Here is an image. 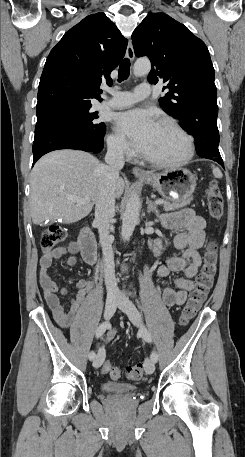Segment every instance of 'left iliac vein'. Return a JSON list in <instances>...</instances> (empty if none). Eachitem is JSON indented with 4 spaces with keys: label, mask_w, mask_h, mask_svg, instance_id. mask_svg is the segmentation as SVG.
I'll return each instance as SVG.
<instances>
[{
    "label": "left iliac vein",
    "mask_w": 245,
    "mask_h": 457,
    "mask_svg": "<svg viewBox=\"0 0 245 457\" xmlns=\"http://www.w3.org/2000/svg\"><path fill=\"white\" fill-rule=\"evenodd\" d=\"M118 308L121 309L128 317L129 320L137 327L142 326V318L139 310L126 296H120L118 300ZM144 369L146 374H152L155 370L154 361L147 358L144 362Z\"/></svg>",
    "instance_id": "4c4485c4"
}]
</instances>
